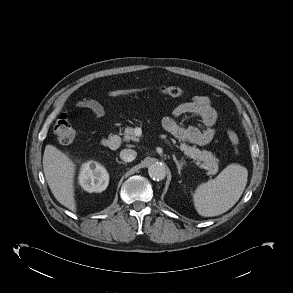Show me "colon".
Listing matches in <instances>:
<instances>
[{"instance_id": "obj_1", "label": "colon", "mask_w": 293, "mask_h": 293, "mask_svg": "<svg viewBox=\"0 0 293 293\" xmlns=\"http://www.w3.org/2000/svg\"><path fill=\"white\" fill-rule=\"evenodd\" d=\"M148 91V89H121V90H112L109 92L110 96L118 97V96H129V95H136L139 93H143ZM157 91L163 95L171 96V97H178L183 94V89L178 86H162L157 88ZM54 134L57 140L62 144H69L73 141L75 137V130L71 123V120L66 114H62L56 124L54 126ZM227 136L234 148L236 154H238V147H239V137L236 132L232 129L227 130Z\"/></svg>"}]
</instances>
